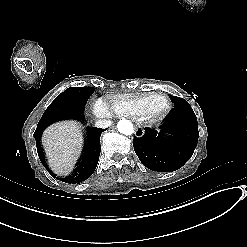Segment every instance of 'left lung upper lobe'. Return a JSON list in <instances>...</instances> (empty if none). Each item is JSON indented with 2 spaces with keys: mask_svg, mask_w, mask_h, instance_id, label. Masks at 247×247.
I'll use <instances>...</instances> for the list:
<instances>
[{
  "mask_svg": "<svg viewBox=\"0 0 247 247\" xmlns=\"http://www.w3.org/2000/svg\"><path fill=\"white\" fill-rule=\"evenodd\" d=\"M171 98L174 101L175 107L184 106V105H188L189 106V103L186 100L182 99V98H179V97H176V96H171Z\"/></svg>",
  "mask_w": 247,
  "mask_h": 247,
  "instance_id": "obj_1",
  "label": "left lung upper lobe"
}]
</instances>
